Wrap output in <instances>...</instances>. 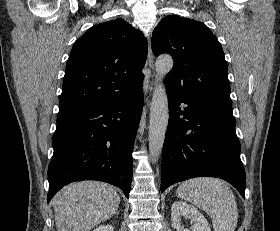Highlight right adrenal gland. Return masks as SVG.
<instances>
[{"mask_svg": "<svg viewBox=\"0 0 280 231\" xmlns=\"http://www.w3.org/2000/svg\"><path fill=\"white\" fill-rule=\"evenodd\" d=\"M116 215H119V211H115Z\"/></svg>", "mask_w": 280, "mask_h": 231, "instance_id": "right-adrenal-gland-1", "label": "right adrenal gland"}]
</instances>
